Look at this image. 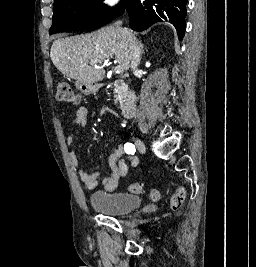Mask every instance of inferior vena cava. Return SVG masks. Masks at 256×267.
<instances>
[{
  "mask_svg": "<svg viewBox=\"0 0 256 267\" xmlns=\"http://www.w3.org/2000/svg\"><path fill=\"white\" fill-rule=\"evenodd\" d=\"M115 28H117V30H119V32H121V34H123V36H129V32L128 30H124V28H121L122 26V22H115L114 24ZM140 48H139V44L137 42V40H133V42H131V48H130V68H132V70H137V66L138 64H140Z\"/></svg>",
  "mask_w": 256,
  "mask_h": 267,
  "instance_id": "obj_1",
  "label": "inferior vena cava"
}]
</instances>
